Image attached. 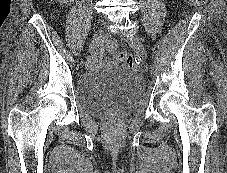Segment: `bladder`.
<instances>
[{
  "label": "bladder",
  "mask_w": 227,
  "mask_h": 173,
  "mask_svg": "<svg viewBox=\"0 0 227 173\" xmlns=\"http://www.w3.org/2000/svg\"><path fill=\"white\" fill-rule=\"evenodd\" d=\"M143 94L142 77L124 66L86 71L76 85L80 107L94 116L126 115L141 103Z\"/></svg>",
  "instance_id": "obj_1"
}]
</instances>
